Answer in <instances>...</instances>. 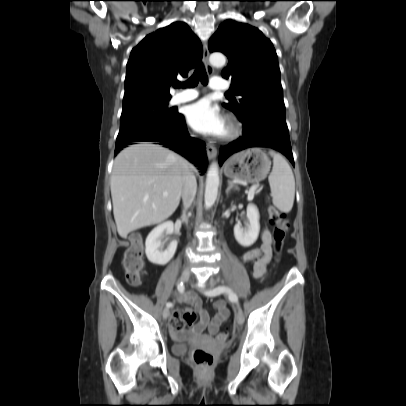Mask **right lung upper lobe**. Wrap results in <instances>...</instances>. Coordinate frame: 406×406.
I'll list each match as a JSON object with an SVG mask.
<instances>
[{
  "instance_id": "1",
  "label": "right lung upper lobe",
  "mask_w": 406,
  "mask_h": 406,
  "mask_svg": "<svg viewBox=\"0 0 406 406\" xmlns=\"http://www.w3.org/2000/svg\"><path fill=\"white\" fill-rule=\"evenodd\" d=\"M200 40L184 22H175L147 35L132 49L127 63L123 106L143 100L170 99L177 76L201 61Z\"/></svg>"
}]
</instances>
